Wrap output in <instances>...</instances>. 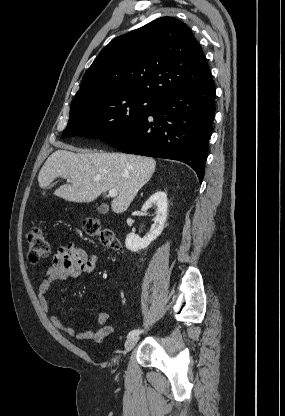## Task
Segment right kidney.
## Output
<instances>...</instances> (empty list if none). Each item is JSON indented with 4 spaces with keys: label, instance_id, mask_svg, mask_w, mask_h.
<instances>
[{
    "label": "right kidney",
    "instance_id": "ca27d5eb",
    "mask_svg": "<svg viewBox=\"0 0 285 416\" xmlns=\"http://www.w3.org/2000/svg\"><path fill=\"white\" fill-rule=\"evenodd\" d=\"M152 206H157V214L154 218V224H152L148 236L139 238L137 234H128L125 240L127 250H131V252L144 250V248H147L153 240H156V238L160 236L167 218L168 204L165 192H156V194H153V196L145 202L144 206H142V212H147L148 208H152Z\"/></svg>",
    "mask_w": 285,
    "mask_h": 416
}]
</instances>
